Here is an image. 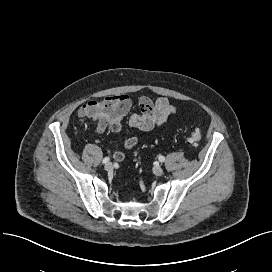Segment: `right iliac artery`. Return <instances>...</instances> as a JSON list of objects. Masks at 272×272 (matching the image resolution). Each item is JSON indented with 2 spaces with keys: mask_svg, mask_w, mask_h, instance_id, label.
<instances>
[{
  "mask_svg": "<svg viewBox=\"0 0 272 272\" xmlns=\"http://www.w3.org/2000/svg\"><path fill=\"white\" fill-rule=\"evenodd\" d=\"M109 160H110L109 157H105V158L102 160V163H103V164H106V163L109 162Z\"/></svg>",
  "mask_w": 272,
  "mask_h": 272,
  "instance_id": "obj_1",
  "label": "right iliac artery"
}]
</instances>
